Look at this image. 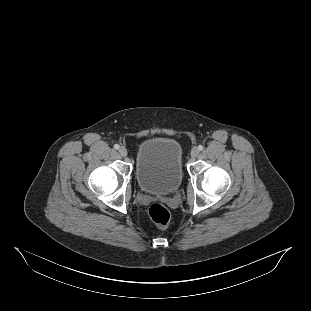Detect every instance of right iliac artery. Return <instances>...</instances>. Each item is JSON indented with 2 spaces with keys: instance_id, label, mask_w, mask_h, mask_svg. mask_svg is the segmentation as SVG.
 Masks as SVG:
<instances>
[{
  "instance_id": "1",
  "label": "right iliac artery",
  "mask_w": 311,
  "mask_h": 311,
  "mask_svg": "<svg viewBox=\"0 0 311 311\" xmlns=\"http://www.w3.org/2000/svg\"><path fill=\"white\" fill-rule=\"evenodd\" d=\"M114 148H115V149H119V145H118V144H115V145H114Z\"/></svg>"
}]
</instances>
